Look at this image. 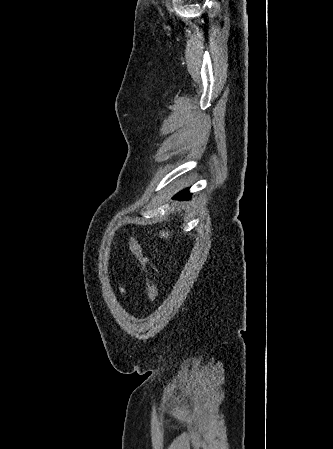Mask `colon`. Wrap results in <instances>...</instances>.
<instances>
[{
	"label": "colon",
	"instance_id": "colon-1",
	"mask_svg": "<svg viewBox=\"0 0 333 449\" xmlns=\"http://www.w3.org/2000/svg\"><path fill=\"white\" fill-rule=\"evenodd\" d=\"M128 245L129 249L138 259L140 264L144 267L148 275V282L146 287L147 295L148 299L151 302H154L159 297L158 287L155 281L153 280V277L157 274V268L151 263L150 257L146 254L142 244L138 240L134 238H129Z\"/></svg>",
	"mask_w": 333,
	"mask_h": 449
}]
</instances>
